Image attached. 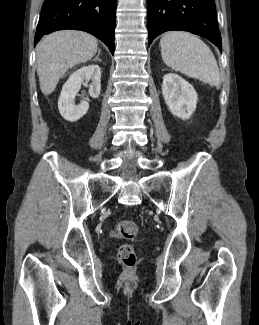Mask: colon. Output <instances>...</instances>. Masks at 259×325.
Returning <instances> with one entry per match:
<instances>
[{
  "label": "colon",
  "instance_id": "colon-1",
  "mask_svg": "<svg viewBox=\"0 0 259 325\" xmlns=\"http://www.w3.org/2000/svg\"><path fill=\"white\" fill-rule=\"evenodd\" d=\"M138 232L135 222L131 220H122L117 223L114 235L118 238L131 240ZM118 259L125 266H133L136 262V250L131 244H123L118 249Z\"/></svg>",
  "mask_w": 259,
  "mask_h": 325
}]
</instances>
